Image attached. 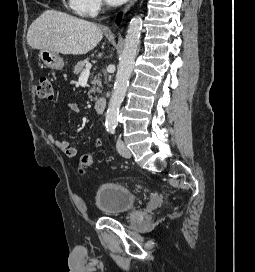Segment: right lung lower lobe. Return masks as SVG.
I'll return each mask as SVG.
<instances>
[{
    "instance_id": "right-lung-lower-lobe-1",
    "label": "right lung lower lobe",
    "mask_w": 255,
    "mask_h": 272,
    "mask_svg": "<svg viewBox=\"0 0 255 272\" xmlns=\"http://www.w3.org/2000/svg\"><path fill=\"white\" fill-rule=\"evenodd\" d=\"M120 20H121V17H120V16H118V17H117V21H116V22H117V23H119V22H120Z\"/></svg>"
}]
</instances>
